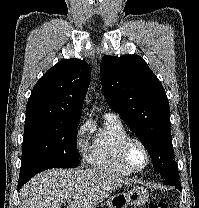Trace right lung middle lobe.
Returning a JSON list of instances; mask_svg holds the SVG:
<instances>
[{
  "mask_svg": "<svg viewBox=\"0 0 199 208\" xmlns=\"http://www.w3.org/2000/svg\"><path fill=\"white\" fill-rule=\"evenodd\" d=\"M78 124L79 120L26 117L19 178L30 179L50 168L77 167Z\"/></svg>",
  "mask_w": 199,
  "mask_h": 208,
  "instance_id": "right-lung-middle-lobe-1",
  "label": "right lung middle lobe"
}]
</instances>
